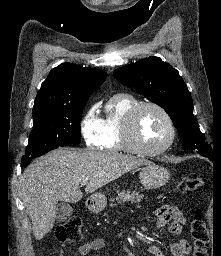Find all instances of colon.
Listing matches in <instances>:
<instances>
[{
	"label": "colon",
	"mask_w": 221,
	"mask_h": 256,
	"mask_svg": "<svg viewBox=\"0 0 221 256\" xmlns=\"http://www.w3.org/2000/svg\"><path fill=\"white\" fill-rule=\"evenodd\" d=\"M203 186V181L196 175L184 177L179 183V190L182 193H189L198 190ZM81 220L71 217L56 227L55 236L63 243H76L82 236ZM191 235L194 243L193 256H208L207 246L209 243L208 232L202 220L201 212L198 210L195 219L191 224Z\"/></svg>",
	"instance_id": "colon-1"
}]
</instances>
